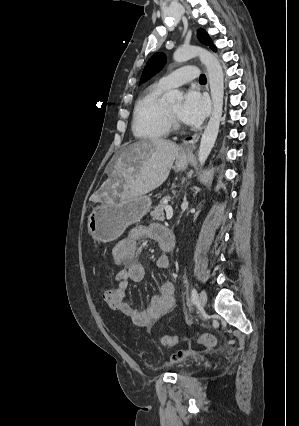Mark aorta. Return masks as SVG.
<instances>
[{
	"instance_id": "762f6f07",
	"label": "aorta",
	"mask_w": 299,
	"mask_h": 426,
	"mask_svg": "<svg viewBox=\"0 0 299 426\" xmlns=\"http://www.w3.org/2000/svg\"><path fill=\"white\" fill-rule=\"evenodd\" d=\"M194 57H199L207 69L213 104L212 113L202 134L198 151V161L200 165H203L215 144L219 132L223 111L224 74L218 58L204 48L193 45L184 46L177 49L173 55L174 60L178 63L188 61ZM166 98L169 102H181L183 96L180 91L171 90Z\"/></svg>"
}]
</instances>
